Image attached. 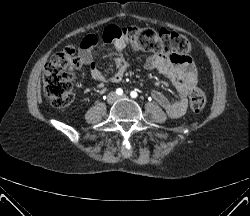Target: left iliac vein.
Returning a JSON list of instances; mask_svg holds the SVG:
<instances>
[{
	"instance_id": "obj_1",
	"label": "left iliac vein",
	"mask_w": 250,
	"mask_h": 216,
	"mask_svg": "<svg viewBox=\"0 0 250 216\" xmlns=\"http://www.w3.org/2000/svg\"><path fill=\"white\" fill-rule=\"evenodd\" d=\"M119 99H122V98H127L126 95H121V96H118Z\"/></svg>"
}]
</instances>
